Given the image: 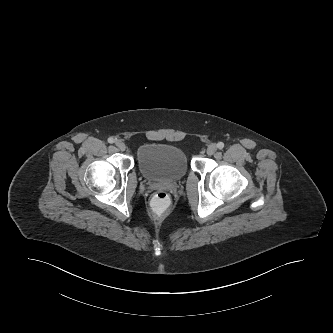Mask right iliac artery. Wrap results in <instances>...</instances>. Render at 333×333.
Returning <instances> with one entry per match:
<instances>
[{"instance_id":"right-iliac-artery-1","label":"right iliac artery","mask_w":333,"mask_h":333,"mask_svg":"<svg viewBox=\"0 0 333 333\" xmlns=\"http://www.w3.org/2000/svg\"><path fill=\"white\" fill-rule=\"evenodd\" d=\"M108 142L112 144L115 142V140H114V138L110 137V138H108Z\"/></svg>"}]
</instances>
